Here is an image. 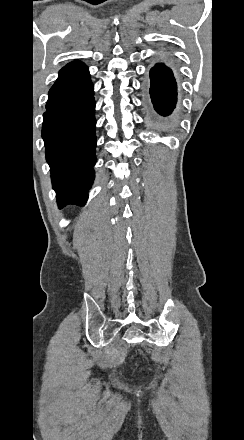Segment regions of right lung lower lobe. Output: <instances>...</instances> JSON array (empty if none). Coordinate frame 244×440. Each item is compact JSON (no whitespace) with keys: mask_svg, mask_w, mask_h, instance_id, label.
<instances>
[{"mask_svg":"<svg viewBox=\"0 0 244 440\" xmlns=\"http://www.w3.org/2000/svg\"><path fill=\"white\" fill-rule=\"evenodd\" d=\"M88 68L79 61L61 69L49 91L42 137L60 207L84 205L94 179L95 100Z\"/></svg>","mask_w":244,"mask_h":440,"instance_id":"right-lung-lower-lobe-1","label":"right lung lower lobe"}]
</instances>
